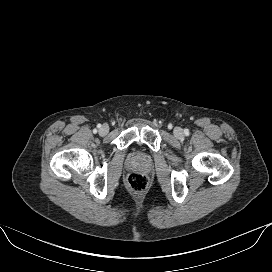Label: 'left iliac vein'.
I'll use <instances>...</instances> for the list:
<instances>
[{
  "instance_id": "4c4485c4",
  "label": "left iliac vein",
  "mask_w": 272,
  "mask_h": 272,
  "mask_svg": "<svg viewBox=\"0 0 272 272\" xmlns=\"http://www.w3.org/2000/svg\"><path fill=\"white\" fill-rule=\"evenodd\" d=\"M174 135L177 137V138H181L183 137V131L181 128H175L174 129Z\"/></svg>"
}]
</instances>
